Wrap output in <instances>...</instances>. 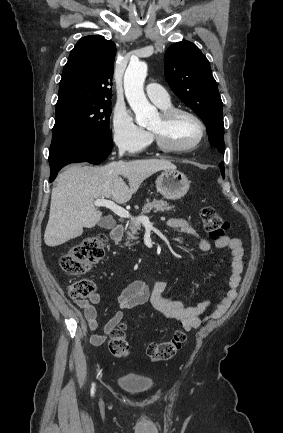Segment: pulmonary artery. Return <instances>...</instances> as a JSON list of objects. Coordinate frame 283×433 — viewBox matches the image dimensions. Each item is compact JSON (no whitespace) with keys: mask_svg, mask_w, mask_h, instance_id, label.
<instances>
[{"mask_svg":"<svg viewBox=\"0 0 283 433\" xmlns=\"http://www.w3.org/2000/svg\"><path fill=\"white\" fill-rule=\"evenodd\" d=\"M161 88V89H159ZM147 96L158 106H166L170 103V96L166 90H164L157 83H148L145 87Z\"/></svg>","mask_w":283,"mask_h":433,"instance_id":"pulmonary-artery-1","label":"pulmonary artery"}]
</instances>
